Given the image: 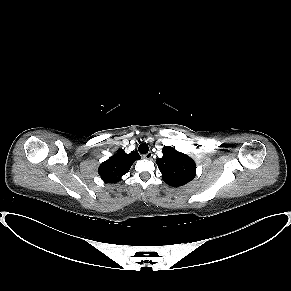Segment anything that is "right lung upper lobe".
<instances>
[{
  "mask_svg": "<svg viewBox=\"0 0 291 291\" xmlns=\"http://www.w3.org/2000/svg\"><path fill=\"white\" fill-rule=\"evenodd\" d=\"M138 159H140V155L136 151L127 154L124 150L119 149L115 155L99 166V175L105 183L119 182Z\"/></svg>",
  "mask_w": 291,
  "mask_h": 291,
  "instance_id": "cb5924a9",
  "label": "right lung upper lobe"
}]
</instances>
